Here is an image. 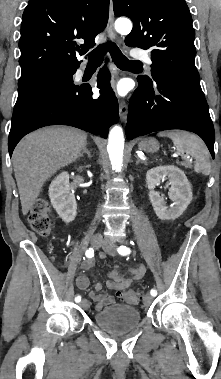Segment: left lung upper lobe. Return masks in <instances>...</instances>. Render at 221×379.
Segmentation results:
<instances>
[{"label":"left lung upper lobe","mask_w":221,"mask_h":379,"mask_svg":"<svg viewBox=\"0 0 221 379\" xmlns=\"http://www.w3.org/2000/svg\"><path fill=\"white\" fill-rule=\"evenodd\" d=\"M116 16H127L133 29L127 46L152 49L151 72L158 70L199 80L195 67V31L185 0H113ZM139 79L150 80L147 76Z\"/></svg>","instance_id":"left-lung-upper-lobe-1"}]
</instances>
